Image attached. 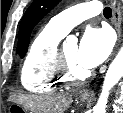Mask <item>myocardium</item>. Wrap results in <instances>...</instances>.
I'll list each match as a JSON object with an SVG mask.
<instances>
[{
  "label": "myocardium",
  "instance_id": "myocardium-1",
  "mask_svg": "<svg viewBox=\"0 0 123 113\" xmlns=\"http://www.w3.org/2000/svg\"><path fill=\"white\" fill-rule=\"evenodd\" d=\"M57 70L59 74L63 77L65 82L73 83L80 82L88 79L90 77V71L85 70L82 72H78L74 70L69 64L63 48H58L57 54Z\"/></svg>",
  "mask_w": 123,
  "mask_h": 113
}]
</instances>
